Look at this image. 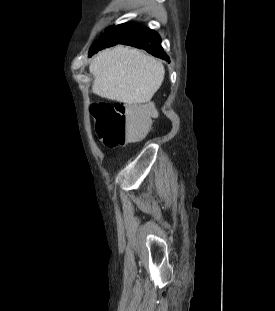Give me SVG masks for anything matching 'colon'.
Returning a JSON list of instances; mask_svg holds the SVG:
<instances>
[{"label":"colon","mask_w":275,"mask_h":311,"mask_svg":"<svg viewBox=\"0 0 275 311\" xmlns=\"http://www.w3.org/2000/svg\"><path fill=\"white\" fill-rule=\"evenodd\" d=\"M96 133L107 148H115L142 139L156 115L153 106L129 107L120 104L97 103L92 106Z\"/></svg>","instance_id":"5ec220e1"}]
</instances>
